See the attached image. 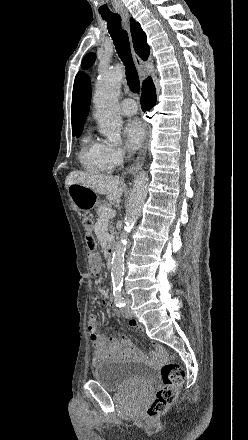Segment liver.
I'll use <instances>...</instances> for the list:
<instances>
[{"label":"liver","instance_id":"1","mask_svg":"<svg viewBox=\"0 0 248 440\" xmlns=\"http://www.w3.org/2000/svg\"><path fill=\"white\" fill-rule=\"evenodd\" d=\"M72 184H79L98 194L106 195V198L109 201L120 199L125 190V185L120 186L119 177L82 171H73L69 173L65 180V187L68 189Z\"/></svg>","mask_w":248,"mask_h":440}]
</instances>
